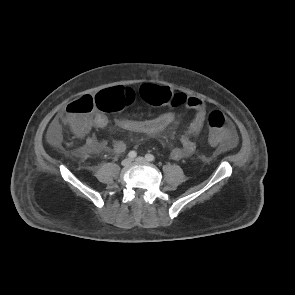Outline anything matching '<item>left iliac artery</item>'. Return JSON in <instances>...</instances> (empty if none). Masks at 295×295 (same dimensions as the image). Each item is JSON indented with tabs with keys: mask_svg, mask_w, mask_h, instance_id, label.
Masks as SVG:
<instances>
[{
	"mask_svg": "<svg viewBox=\"0 0 295 295\" xmlns=\"http://www.w3.org/2000/svg\"><path fill=\"white\" fill-rule=\"evenodd\" d=\"M145 158L147 159V161H153L155 159L154 155L152 154H146Z\"/></svg>",
	"mask_w": 295,
	"mask_h": 295,
	"instance_id": "obj_1",
	"label": "left iliac artery"
}]
</instances>
